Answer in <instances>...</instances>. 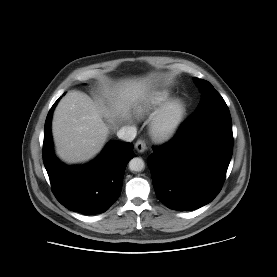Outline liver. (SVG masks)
<instances>
[{
	"mask_svg": "<svg viewBox=\"0 0 277 277\" xmlns=\"http://www.w3.org/2000/svg\"><path fill=\"white\" fill-rule=\"evenodd\" d=\"M150 77L121 80L105 86L102 97L92 100L73 91L58 103L52 121L56 153L66 163H83L103 148L110 125L125 118L131 107L147 102L151 94Z\"/></svg>",
	"mask_w": 277,
	"mask_h": 277,
	"instance_id": "liver-1",
	"label": "liver"
}]
</instances>
